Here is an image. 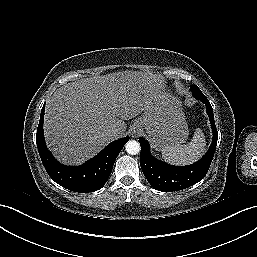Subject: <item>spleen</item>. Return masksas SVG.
Segmentation results:
<instances>
[{
  "instance_id": "3e777b00",
  "label": "spleen",
  "mask_w": 257,
  "mask_h": 257,
  "mask_svg": "<svg viewBox=\"0 0 257 257\" xmlns=\"http://www.w3.org/2000/svg\"><path fill=\"white\" fill-rule=\"evenodd\" d=\"M205 136L201 129H196L191 142L175 144L161 149L165 161L174 165H189L196 162L204 154Z\"/></svg>"
}]
</instances>
